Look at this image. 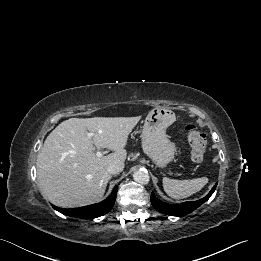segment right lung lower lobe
Listing matches in <instances>:
<instances>
[{
    "instance_id": "obj_1",
    "label": "right lung lower lobe",
    "mask_w": 261,
    "mask_h": 261,
    "mask_svg": "<svg viewBox=\"0 0 261 261\" xmlns=\"http://www.w3.org/2000/svg\"><path fill=\"white\" fill-rule=\"evenodd\" d=\"M117 186L114 187L111 195L100 203H96L89 206H84L80 208H57L53 206V208L60 213L72 217H78L83 219H93L108 213L112 207L114 206L116 195H117Z\"/></svg>"
}]
</instances>
